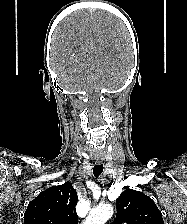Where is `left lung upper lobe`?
<instances>
[{
	"label": "left lung upper lobe",
	"instance_id": "obj_1",
	"mask_svg": "<svg viewBox=\"0 0 187 224\" xmlns=\"http://www.w3.org/2000/svg\"><path fill=\"white\" fill-rule=\"evenodd\" d=\"M114 224H164L153 200L142 192L126 189L116 201Z\"/></svg>",
	"mask_w": 187,
	"mask_h": 224
}]
</instances>
